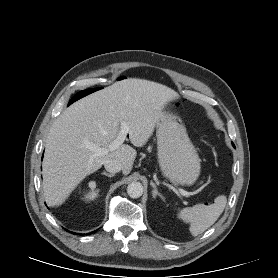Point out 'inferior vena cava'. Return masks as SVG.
Wrapping results in <instances>:
<instances>
[{
	"instance_id": "602c4592",
	"label": "inferior vena cava",
	"mask_w": 278,
	"mask_h": 278,
	"mask_svg": "<svg viewBox=\"0 0 278 278\" xmlns=\"http://www.w3.org/2000/svg\"><path fill=\"white\" fill-rule=\"evenodd\" d=\"M106 171L110 173H117L122 170V165L114 160H108L104 163Z\"/></svg>"
}]
</instances>
